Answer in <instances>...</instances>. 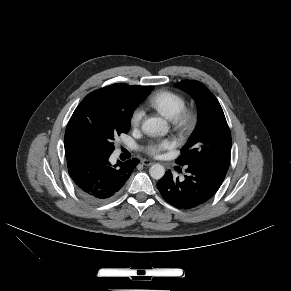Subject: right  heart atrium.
<instances>
[{
    "label": "right heart atrium",
    "instance_id": "obj_1",
    "mask_svg": "<svg viewBox=\"0 0 291 291\" xmlns=\"http://www.w3.org/2000/svg\"><path fill=\"white\" fill-rule=\"evenodd\" d=\"M143 116H144L143 110L139 107L135 108L130 117V124L133 127L139 126L143 119Z\"/></svg>",
    "mask_w": 291,
    "mask_h": 291
}]
</instances>
